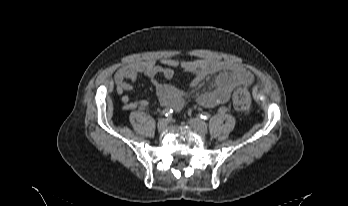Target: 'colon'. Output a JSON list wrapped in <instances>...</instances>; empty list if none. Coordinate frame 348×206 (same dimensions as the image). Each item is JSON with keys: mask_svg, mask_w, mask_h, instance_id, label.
Masks as SVG:
<instances>
[{"mask_svg": "<svg viewBox=\"0 0 348 206\" xmlns=\"http://www.w3.org/2000/svg\"><path fill=\"white\" fill-rule=\"evenodd\" d=\"M232 100L236 110L243 114L249 113L251 100L247 90L243 88L236 89L233 93Z\"/></svg>", "mask_w": 348, "mask_h": 206, "instance_id": "obj_1", "label": "colon"}]
</instances>
